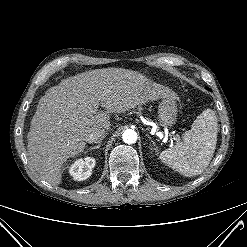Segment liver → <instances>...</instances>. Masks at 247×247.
Returning <instances> with one entry per match:
<instances>
[{
    "label": "liver",
    "mask_w": 247,
    "mask_h": 247,
    "mask_svg": "<svg viewBox=\"0 0 247 247\" xmlns=\"http://www.w3.org/2000/svg\"><path fill=\"white\" fill-rule=\"evenodd\" d=\"M166 98L177 95L132 70L95 69L64 79L38 103L27 135L30 163L41 179L59 185L62 164L83 152L91 132L110 128L112 113ZM99 105L106 111L92 112Z\"/></svg>",
    "instance_id": "obj_1"
}]
</instances>
